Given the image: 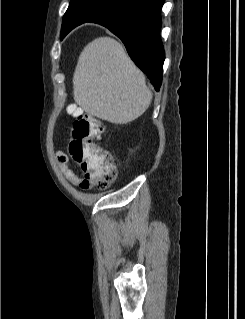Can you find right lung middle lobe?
<instances>
[{
    "label": "right lung middle lobe",
    "mask_w": 245,
    "mask_h": 319,
    "mask_svg": "<svg viewBox=\"0 0 245 319\" xmlns=\"http://www.w3.org/2000/svg\"><path fill=\"white\" fill-rule=\"evenodd\" d=\"M128 0H83L81 7L84 8L88 13L95 18L109 11H112L119 6L126 3ZM88 22V21H87ZM69 25H62L61 32ZM75 28V27H74Z\"/></svg>",
    "instance_id": "obj_1"
}]
</instances>
